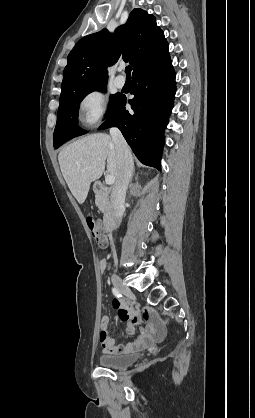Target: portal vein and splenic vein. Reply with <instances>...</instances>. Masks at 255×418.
<instances>
[{
	"instance_id": "18ae733b",
	"label": "portal vein and splenic vein",
	"mask_w": 255,
	"mask_h": 418,
	"mask_svg": "<svg viewBox=\"0 0 255 418\" xmlns=\"http://www.w3.org/2000/svg\"><path fill=\"white\" fill-rule=\"evenodd\" d=\"M105 182H106V184H107V185H112V184H114V182H115V177H114V175H107V176L105 177Z\"/></svg>"
}]
</instances>
